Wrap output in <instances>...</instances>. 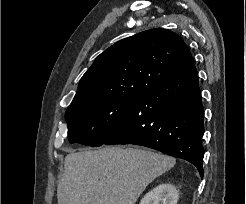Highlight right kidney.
Listing matches in <instances>:
<instances>
[{
	"mask_svg": "<svg viewBox=\"0 0 246 204\" xmlns=\"http://www.w3.org/2000/svg\"><path fill=\"white\" fill-rule=\"evenodd\" d=\"M178 190L170 183H163L149 191L139 204H177Z\"/></svg>",
	"mask_w": 246,
	"mask_h": 204,
	"instance_id": "ca27d5eb",
	"label": "right kidney"
}]
</instances>
